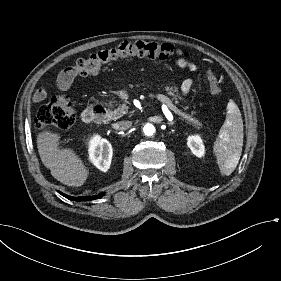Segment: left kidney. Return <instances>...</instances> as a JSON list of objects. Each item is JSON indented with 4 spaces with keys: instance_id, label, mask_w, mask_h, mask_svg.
Segmentation results:
<instances>
[{
    "instance_id": "1",
    "label": "left kidney",
    "mask_w": 281,
    "mask_h": 281,
    "mask_svg": "<svg viewBox=\"0 0 281 281\" xmlns=\"http://www.w3.org/2000/svg\"><path fill=\"white\" fill-rule=\"evenodd\" d=\"M187 146L195 156L201 158L205 155V146L200 135L195 134L188 136Z\"/></svg>"
}]
</instances>
